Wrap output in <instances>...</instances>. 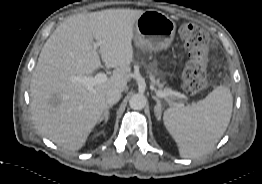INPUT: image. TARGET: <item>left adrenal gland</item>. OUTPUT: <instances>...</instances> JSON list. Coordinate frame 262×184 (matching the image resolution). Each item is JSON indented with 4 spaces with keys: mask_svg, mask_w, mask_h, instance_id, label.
Returning <instances> with one entry per match:
<instances>
[{
    "mask_svg": "<svg viewBox=\"0 0 262 184\" xmlns=\"http://www.w3.org/2000/svg\"><path fill=\"white\" fill-rule=\"evenodd\" d=\"M152 98L156 101V106L154 107V114L156 118L159 120L161 117V110H162L161 101L156 96H152Z\"/></svg>",
    "mask_w": 262,
    "mask_h": 184,
    "instance_id": "a2214340",
    "label": "left adrenal gland"
}]
</instances>
